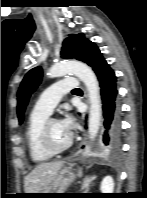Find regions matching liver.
Masks as SVG:
<instances>
[{
  "label": "liver",
  "mask_w": 147,
  "mask_h": 198,
  "mask_svg": "<svg viewBox=\"0 0 147 198\" xmlns=\"http://www.w3.org/2000/svg\"><path fill=\"white\" fill-rule=\"evenodd\" d=\"M63 165V161L41 163L37 165L24 178L25 193H39L48 187L56 179Z\"/></svg>",
  "instance_id": "obj_1"
}]
</instances>
